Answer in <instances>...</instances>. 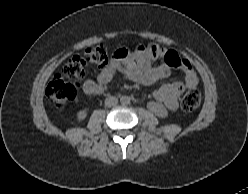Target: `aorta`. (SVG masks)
I'll return each instance as SVG.
<instances>
[{"instance_id":"aorta-1","label":"aorta","mask_w":248,"mask_h":194,"mask_svg":"<svg viewBox=\"0 0 248 194\" xmlns=\"http://www.w3.org/2000/svg\"><path fill=\"white\" fill-rule=\"evenodd\" d=\"M120 103L122 105H128L130 103V97H128V96H122L120 98Z\"/></svg>"}]
</instances>
